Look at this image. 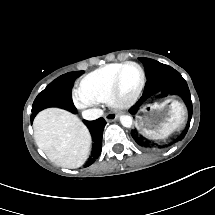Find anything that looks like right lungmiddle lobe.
Returning <instances> with one entry per match:
<instances>
[{
	"mask_svg": "<svg viewBox=\"0 0 215 215\" xmlns=\"http://www.w3.org/2000/svg\"><path fill=\"white\" fill-rule=\"evenodd\" d=\"M83 71H76L64 74L51 82L35 99L32 106L31 118L47 107H61L73 113L76 108L72 101V87L75 79Z\"/></svg>",
	"mask_w": 215,
	"mask_h": 215,
	"instance_id": "1",
	"label": "right lung middle lobe"
}]
</instances>
